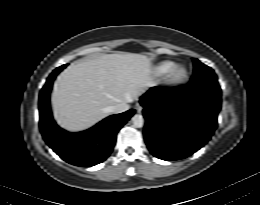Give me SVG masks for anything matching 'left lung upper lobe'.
<instances>
[{
	"label": "left lung upper lobe",
	"instance_id": "5c2ea615",
	"mask_svg": "<svg viewBox=\"0 0 260 205\" xmlns=\"http://www.w3.org/2000/svg\"><path fill=\"white\" fill-rule=\"evenodd\" d=\"M193 61L194 74L189 85L206 87L221 91L218 85L217 76L215 75L214 71L197 59H193Z\"/></svg>",
	"mask_w": 260,
	"mask_h": 205
}]
</instances>
